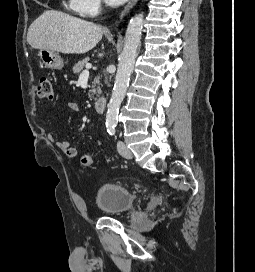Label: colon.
<instances>
[{
  "label": "colon",
  "instance_id": "colon-1",
  "mask_svg": "<svg viewBox=\"0 0 255 272\" xmlns=\"http://www.w3.org/2000/svg\"><path fill=\"white\" fill-rule=\"evenodd\" d=\"M38 95L39 97L47 100L53 99V87L52 81L48 77L41 78L38 86ZM92 164V158L89 155H85L81 159V165L83 167H88Z\"/></svg>",
  "mask_w": 255,
  "mask_h": 272
}]
</instances>
